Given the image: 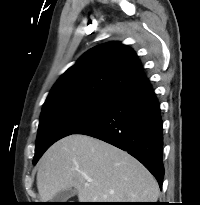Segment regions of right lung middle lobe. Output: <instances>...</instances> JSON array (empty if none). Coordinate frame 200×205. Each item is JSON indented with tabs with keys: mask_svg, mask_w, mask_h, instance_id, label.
Segmentation results:
<instances>
[{
	"mask_svg": "<svg viewBox=\"0 0 200 205\" xmlns=\"http://www.w3.org/2000/svg\"><path fill=\"white\" fill-rule=\"evenodd\" d=\"M115 99L98 96L68 98L51 104L41 112L35 156L36 164L57 140L75 133L101 116Z\"/></svg>",
	"mask_w": 200,
	"mask_h": 205,
	"instance_id": "right-lung-middle-lobe-1",
	"label": "right lung middle lobe"
}]
</instances>
